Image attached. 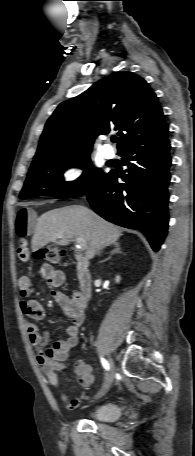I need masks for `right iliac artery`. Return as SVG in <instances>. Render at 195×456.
<instances>
[{"instance_id": "1", "label": "right iliac artery", "mask_w": 195, "mask_h": 456, "mask_svg": "<svg viewBox=\"0 0 195 456\" xmlns=\"http://www.w3.org/2000/svg\"><path fill=\"white\" fill-rule=\"evenodd\" d=\"M101 363L103 365V367L106 369V370H109L110 369V365L108 363L107 360H105L104 358L101 357Z\"/></svg>"}]
</instances>
